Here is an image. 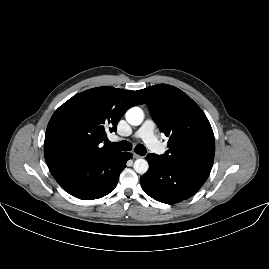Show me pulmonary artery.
<instances>
[{"label": "pulmonary artery", "mask_w": 269, "mask_h": 269, "mask_svg": "<svg viewBox=\"0 0 269 269\" xmlns=\"http://www.w3.org/2000/svg\"><path fill=\"white\" fill-rule=\"evenodd\" d=\"M133 137L143 140L148 148H152L158 143L155 123L151 119L146 120L133 134ZM154 151L160 157L165 156L167 153L166 148L161 144L156 145Z\"/></svg>", "instance_id": "1"}]
</instances>
